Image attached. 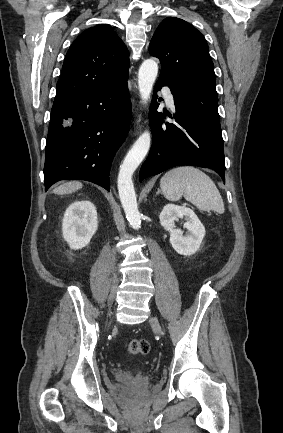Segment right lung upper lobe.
I'll return each instance as SVG.
<instances>
[{"mask_svg":"<svg viewBox=\"0 0 283 433\" xmlns=\"http://www.w3.org/2000/svg\"><path fill=\"white\" fill-rule=\"evenodd\" d=\"M129 53L109 25L91 27L69 48L56 86L55 99L116 86L128 76Z\"/></svg>","mask_w":283,"mask_h":433,"instance_id":"1","label":"right lung upper lobe"}]
</instances>
